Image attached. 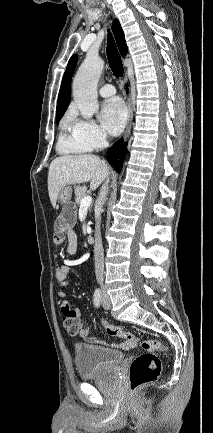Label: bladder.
<instances>
[{
    "label": "bladder",
    "mask_w": 213,
    "mask_h": 433,
    "mask_svg": "<svg viewBox=\"0 0 213 433\" xmlns=\"http://www.w3.org/2000/svg\"><path fill=\"white\" fill-rule=\"evenodd\" d=\"M125 358L120 351L79 343L75 345V364L81 379L102 378L110 374Z\"/></svg>",
    "instance_id": "obj_1"
}]
</instances>
